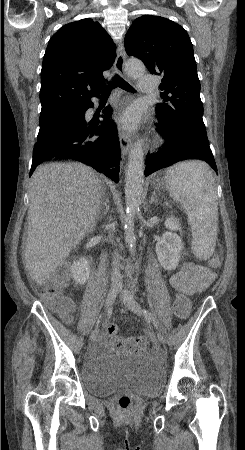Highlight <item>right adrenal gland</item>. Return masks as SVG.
Returning a JSON list of instances; mask_svg holds the SVG:
<instances>
[{
    "label": "right adrenal gland",
    "instance_id": "1",
    "mask_svg": "<svg viewBox=\"0 0 245 450\" xmlns=\"http://www.w3.org/2000/svg\"><path fill=\"white\" fill-rule=\"evenodd\" d=\"M102 194H103V198L105 199V201L104 200L101 201V204L103 206H105V210L102 212V214L106 215L109 210V205H108L109 200H108V198L105 197V191H103Z\"/></svg>",
    "mask_w": 245,
    "mask_h": 450
}]
</instances>
